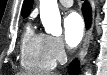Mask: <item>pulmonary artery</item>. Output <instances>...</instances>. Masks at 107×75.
<instances>
[{
    "label": "pulmonary artery",
    "instance_id": "obj_1",
    "mask_svg": "<svg viewBox=\"0 0 107 75\" xmlns=\"http://www.w3.org/2000/svg\"><path fill=\"white\" fill-rule=\"evenodd\" d=\"M59 2L64 7H71L73 4L72 0H60Z\"/></svg>",
    "mask_w": 107,
    "mask_h": 75
}]
</instances>
